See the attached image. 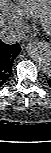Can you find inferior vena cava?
<instances>
[{"label":"inferior vena cava","mask_w":51,"mask_h":153,"mask_svg":"<svg viewBox=\"0 0 51 153\" xmlns=\"http://www.w3.org/2000/svg\"><path fill=\"white\" fill-rule=\"evenodd\" d=\"M0 38L6 44H15L25 38V33L18 27L6 26L1 29Z\"/></svg>","instance_id":"obj_1"}]
</instances>
